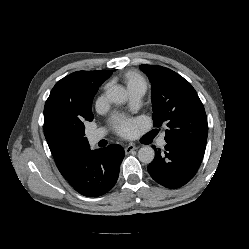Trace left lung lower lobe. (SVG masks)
<instances>
[{
	"mask_svg": "<svg viewBox=\"0 0 249 249\" xmlns=\"http://www.w3.org/2000/svg\"><path fill=\"white\" fill-rule=\"evenodd\" d=\"M155 149L156 156L148 166L151 177L167 188H178L196 174L203 156L186 148L167 143L164 152Z\"/></svg>",
	"mask_w": 249,
	"mask_h": 249,
	"instance_id": "0a47b994",
	"label": "left lung lower lobe"
}]
</instances>
